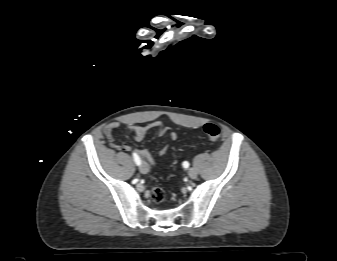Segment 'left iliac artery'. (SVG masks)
<instances>
[{
  "instance_id": "obj_1",
  "label": "left iliac artery",
  "mask_w": 337,
  "mask_h": 261,
  "mask_svg": "<svg viewBox=\"0 0 337 261\" xmlns=\"http://www.w3.org/2000/svg\"><path fill=\"white\" fill-rule=\"evenodd\" d=\"M182 165H183L184 168H188L189 167V163L187 161H184Z\"/></svg>"
}]
</instances>
